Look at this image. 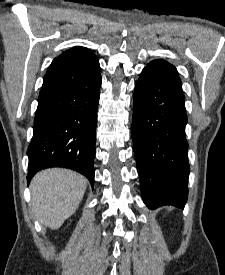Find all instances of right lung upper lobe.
I'll use <instances>...</instances> for the list:
<instances>
[{
    "mask_svg": "<svg viewBox=\"0 0 225 275\" xmlns=\"http://www.w3.org/2000/svg\"><path fill=\"white\" fill-rule=\"evenodd\" d=\"M100 75L95 54L81 46H75L56 57L49 66L39 98L70 89L93 86Z\"/></svg>",
    "mask_w": 225,
    "mask_h": 275,
    "instance_id": "obj_1",
    "label": "right lung upper lobe"
}]
</instances>
